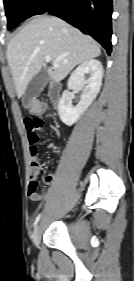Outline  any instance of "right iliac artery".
Returning a JSON list of instances; mask_svg holds the SVG:
<instances>
[{"instance_id": "right-iliac-artery-1", "label": "right iliac artery", "mask_w": 134, "mask_h": 281, "mask_svg": "<svg viewBox=\"0 0 134 281\" xmlns=\"http://www.w3.org/2000/svg\"><path fill=\"white\" fill-rule=\"evenodd\" d=\"M40 215H41V214H38V216L36 217V219H35V221H34V223H33V226H34V227H36V225H37V223H38V221H39V219H40Z\"/></svg>"}]
</instances>
